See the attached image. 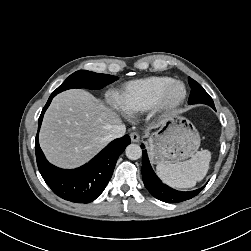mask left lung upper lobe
<instances>
[{
  "mask_svg": "<svg viewBox=\"0 0 251 251\" xmlns=\"http://www.w3.org/2000/svg\"><path fill=\"white\" fill-rule=\"evenodd\" d=\"M189 85L191 87V94L189 97V104L203 103L215 108L214 102L209 94L192 78H188Z\"/></svg>",
  "mask_w": 251,
  "mask_h": 251,
  "instance_id": "1",
  "label": "left lung upper lobe"
}]
</instances>
